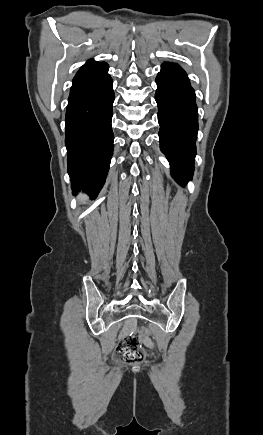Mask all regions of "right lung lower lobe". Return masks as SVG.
Masks as SVG:
<instances>
[{
    "mask_svg": "<svg viewBox=\"0 0 263 435\" xmlns=\"http://www.w3.org/2000/svg\"><path fill=\"white\" fill-rule=\"evenodd\" d=\"M105 62L82 67L73 79L66 110L65 145L73 192L95 198L105 183L113 154L114 92Z\"/></svg>",
    "mask_w": 263,
    "mask_h": 435,
    "instance_id": "right-lung-lower-lobe-1",
    "label": "right lung lower lobe"
}]
</instances>
